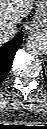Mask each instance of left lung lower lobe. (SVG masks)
<instances>
[{
	"mask_svg": "<svg viewBox=\"0 0 47 129\" xmlns=\"http://www.w3.org/2000/svg\"><path fill=\"white\" fill-rule=\"evenodd\" d=\"M43 75H44V78H45V80H46V82H47V79H46V77H45V74H44V72H43Z\"/></svg>",
	"mask_w": 47,
	"mask_h": 129,
	"instance_id": "left-lung-lower-lobe-1",
	"label": "left lung lower lobe"
}]
</instances>
